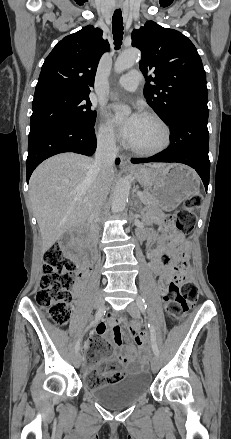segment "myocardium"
<instances>
[{"instance_id":"1","label":"myocardium","mask_w":231,"mask_h":439,"mask_svg":"<svg viewBox=\"0 0 231 439\" xmlns=\"http://www.w3.org/2000/svg\"><path fill=\"white\" fill-rule=\"evenodd\" d=\"M144 117L156 122L161 127L163 131L162 142L158 146L148 149L137 148L132 145H129L128 147L135 154L141 156H153L165 151L170 146L172 139V132L168 123L157 113L147 112L145 113Z\"/></svg>"}]
</instances>
